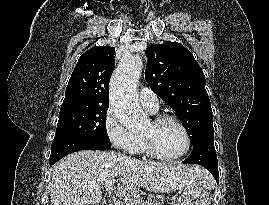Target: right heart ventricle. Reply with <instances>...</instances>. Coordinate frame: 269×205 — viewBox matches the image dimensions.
I'll return each mask as SVG.
<instances>
[{"instance_id":"right-heart-ventricle-1","label":"right heart ventricle","mask_w":269,"mask_h":205,"mask_svg":"<svg viewBox=\"0 0 269 205\" xmlns=\"http://www.w3.org/2000/svg\"><path fill=\"white\" fill-rule=\"evenodd\" d=\"M130 152L133 154H142L145 152L140 136H137V141L135 143V146L133 147V149Z\"/></svg>"}]
</instances>
